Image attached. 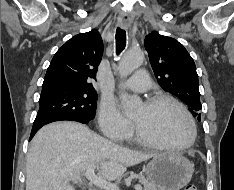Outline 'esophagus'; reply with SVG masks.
I'll return each instance as SVG.
<instances>
[{
	"label": "esophagus",
	"mask_w": 234,
	"mask_h": 190,
	"mask_svg": "<svg viewBox=\"0 0 234 190\" xmlns=\"http://www.w3.org/2000/svg\"><path fill=\"white\" fill-rule=\"evenodd\" d=\"M121 25L126 27L128 25L127 20L123 19L122 22H121Z\"/></svg>",
	"instance_id": "obj_1"
}]
</instances>
